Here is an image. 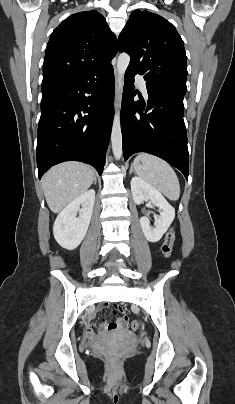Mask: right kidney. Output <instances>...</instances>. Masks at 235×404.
<instances>
[{
	"mask_svg": "<svg viewBox=\"0 0 235 404\" xmlns=\"http://www.w3.org/2000/svg\"><path fill=\"white\" fill-rule=\"evenodd\" d=\"M94 201L95 191L88 190L71 201L57 216L53 232L55 240L61 247L73 250L80 245L91 221ZM78 211L79 218L76 217Z\"/></svg>",
	"mask_w": 235,
	"mask_h": 404,
	"instance_id": "right-kidney-1",
	"label": "right kidney"
}]
</instances>
